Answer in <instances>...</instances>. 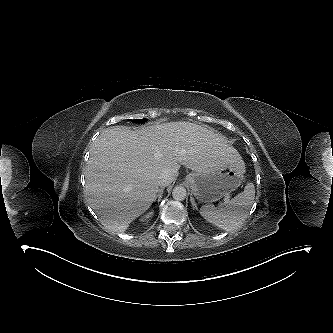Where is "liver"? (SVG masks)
<instances>
[{"label": "liver", "mask_w": 333, "mask_h": 333, "mask_svg": "<svg viewBox=\"0 0 333 333\" xmlns=\"http://www.w3.org/2000/svg\"><path fill=\"white\" fill-rule=\"evenodd\" d=\"M239 158L224 136L189 122L137 131L108 127L90 152L85 174L87 202L105 227L124 232L154 202L162 173L174 180L180 165L202 172Z\"/></svg>", "instance_id": "1"}]
</instances>
